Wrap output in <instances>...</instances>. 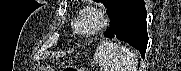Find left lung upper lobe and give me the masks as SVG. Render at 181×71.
<instances>
[{"instance_id": "obj_1", "label": "left lung upper lobe", "mask_w": 181, "mask_h": 71, "mask_svg": "<svg viewBox=\"0 0 181 71\" xmlns=\"http://www.w3.org/2000/svg\"><path fill=\"white\" fill-rule=\"evenodd\" d=\"M94 1L103 3L104 6L107 8V12H108L116 0H94Z\"/></svg>"}]
</instances>
